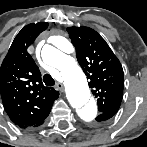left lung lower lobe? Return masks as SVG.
<instances>
[{"label": "left lung lower lobe", "mask_w": 147, "mask_h": 147, "mask_svg": "<svg viewBox=\"0 0 147 147\" xmlns=\"http://www.w3.org/2000/svg\"><path fill=\"white\" fill-rule=\"evenodd\" d=\"M116 113L115 112H109V113H102L99 114L98 117L96 118L97 121H105L110 119L112 116H114Z\"/></svg>", "instance_id": "left-lung-lower-lobe-1"}]
</instances>
